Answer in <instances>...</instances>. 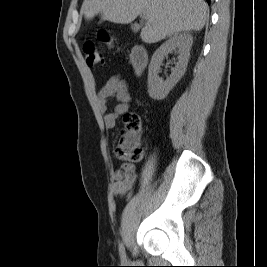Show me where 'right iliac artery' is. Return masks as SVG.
<instances>
[{
	"instance_id": "1",
	"label": "right iliac artery",
	"mask_w": 267,
	"mask_h": 267,
	"mask_svg": "<svg viewBox=\"0 0 267 267\" xmlns=\"http://www.w3.org/2000/svg\"><path fill=\"white\" fill-rule=\"evenodd\" d=\"M119 254L121 256L122 261H124L126 258V255H125V247H124L123 243L119 244Z\"/></svg>"
}]
</instances>
